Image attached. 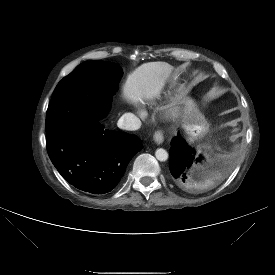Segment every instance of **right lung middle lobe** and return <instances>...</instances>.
<instances>
[{"label": "right lung middle lobe", "instance_id": "dd1d6c3e", "mask_svg": "<svg viewBox=\"0 0 275 275\" xmlns=\"http://www.w3.org/2000/svg\"><path fill=\"white\" fill-rule=\"evenodd\" d=\"M121 75V68L105 61H86L56 86L46 113V132L82 118L101 119L112 95L104 88Z\"/></svg>", "mask_w": 275, "mask_h": 275}]
</instances>
